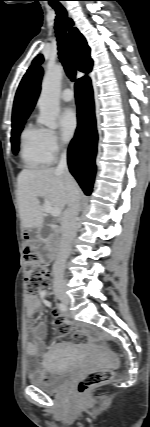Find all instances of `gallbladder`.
Instances as JSON below:
<instances>
[{
	"instance_id": "obj_1",
	"label": "gallbladder",
	"mask_w": 150,
	"mask_h": 427,
	"mask_svg": "<svg viewBox=\"0 0 150 427\" xmlns=\"http://www.w3.org/2000/svg\"><path fill=\"white\" fill-rule=\"evenodd\" d=\"M37 252L42 256L45 261L48 260V253L43 245H38Z\"/></svg>"
}]
</instances>
